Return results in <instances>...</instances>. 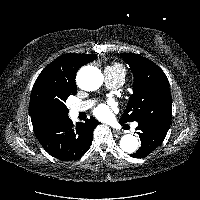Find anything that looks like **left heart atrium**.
I'll return each mask as SVG.
<instances>
[{
  "mask_svg": "<svg viewBox=\"0 0 200 200\" xmlns=\"http://www.w3.org/2000/svg\"><path fill=\"white\" fill-rule=\"evenodd\" d=\"M115 108L116 107L113 102L101 103L94 109L93 113L97 118L106 120L111 117Z\"/></svg>",
  "mask_w": 200,
  "mask_h": 200,
  "instance_id": "obj_1",
  "label": "left heart atrium"
}]
</instances>
